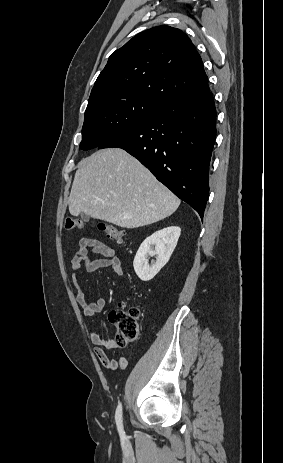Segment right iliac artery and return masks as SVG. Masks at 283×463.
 Masks as SVG:
<instances>
[{
    "mask_svg": "<svg viewBox=\"0 0 283 463\" xmlns=\"http://www.w3.org/2000/svg\"><path fill=\"white\" fill-rule=\"evenodd\" d=\"M115 420L118 428V432L120 436L123 438L125 436V432L123 430V424H122V405L119 403L117 409H116V414H115Z\"/></svg>",
    "mask_w": 283,
    "mask_h": 463,
    "instance_id": "82829eb1",
    "label": "right iliac artery"
}]
</instances>
